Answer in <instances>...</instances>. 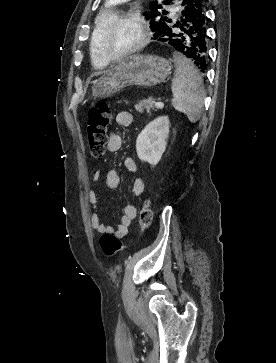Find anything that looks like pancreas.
<instances>
[{"instance_id": "cf45deb5", "label": "pancreas", "mask_w": 276, "mask_h": 363, "mask_svg": "<svg viewBox=\"0 0 276 363\" xmlns=\"http://www.w3.org/2000/svg\"><path fill=\"white\" fill-rule=\"evenodd\" d=\"M155 101L151 98L149 99H143L140 100L136 105H135V109L136 111L143 113L144 111H146L147 113H151V111L157 110L159 109V107H157L155 105Z\"/></svg>"}]
</instances>
